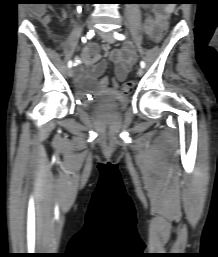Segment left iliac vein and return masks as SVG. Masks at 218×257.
<instances>
[{
	"instance_id": "left-iliac-vein-1",
	"label": "left iliac vein",
	"mask_w": 218,
	"mask_h": 257,
	"mask_svg": "<svg viewBox=\"0 0 218 257\" xmlns=\"http://www.w3.org/2000/svg\"><path fill=\"white\" fill-rule=\"evenodd\" d=\"M99 35L101 36V38L104 41H106L108 43H114L115 42V38H114L113 34L110 33V32L99 31ZM137 74H138V76L143 75V68L142 67H140L138 69Z\"/></svg>"
}]
</instances>
